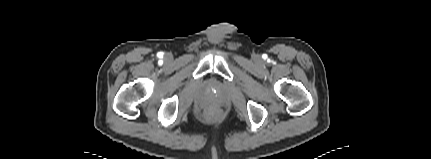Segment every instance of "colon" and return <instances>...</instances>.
Returning a JSON list of instances; mask_svg holds the SVG:
<instances>
[{
	"label": "colon",
	"mask_w": 431,
	"mask_h": 159,
	"mask_svg": "<svg viewBox=\"0 0 431 159\" xmlns=\"http://www.w3.org/2000/svg\"><path fill=\"white\" fill-rule=\"evenodd\" d=\"M207 117L211 120H216L219 117V114L216 110H209L207 112Z\"/></svg>",
	"instance_id": "obj_1"
}]
</instances>
